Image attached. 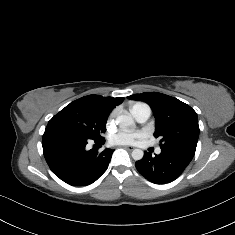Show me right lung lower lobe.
<instances>
[{"label": "right lung lower lobe", "instance_id": "right-lung-lower-lobe-1", "mask_svg": "<svg viewBox=\"0 0 235 235\" xmlns=\"http://www.w3.org/2000/svg\"><path fill=\"white\" fill-rule=\"evenodd\" d=\"M87 139L80 134L57 125H47L43 140V153L52 172L73 186L95 182L108 168L112 149L87 151ZM104 143L105 139L95 140Z\"/></svg>", "mask_w": 235, "mask_h": 235}]
</instances>
